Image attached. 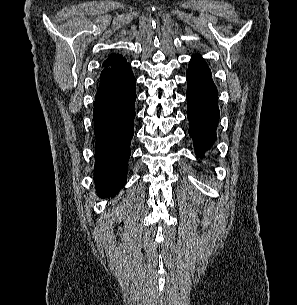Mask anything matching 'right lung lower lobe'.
Instances as JSON below:
<instances>
[{
  "label": "right lung lower lobe",
  "instance_id": "1",
  "mask_svg": "<svg viewBox=\"0 0 297 305\" xmlns=\"http://www.w3.org/2000/svg\"><path fill=\"white\" fill-rule=\"evenodd\" d=\"M136 82L127 64L100 79L93 110L94 180L101 197L113 196L125 184L134 135Z\"/></svg>",
  "mask_w": 297,
  "mask_h": 305
}]
</instances>
